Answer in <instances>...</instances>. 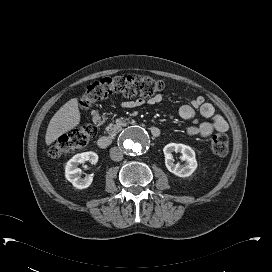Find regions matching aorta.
Segmentation results:
<instances>
[{
  "mask_svg": "<svg viewBox=\"0 0 272 272\" xmlns=\"http://www.w3.org/2000/svg\"><path fill=\"white\" fill-rule=\"evenodd\" d=\"M120 145L130 155L144 153L150 145L148 133L140 126H131L120 137Z\"/></svg>",
  "mask_w": 272,
  "mask_h": 272,
  "instance_id": "1",
  "label": "aorta"
}]
</instances>
